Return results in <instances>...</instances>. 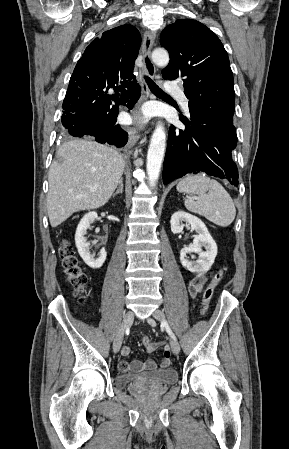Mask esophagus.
<instances>
[{
	"label": "esophagus",
	"mask_w": 289,
	"mask_h": 449,
	"mask_svg": "<svg viewBox=\"0 0 289 449\" xmlns=\"http://www.w3.org/2000/svg\"><path fill=\"white\" fill-rule=\"evenodd\" d=\"M154 40H155V33L152 31H146L144 34L141 53H142V57H143V63L145 66V72L149 78H154L155 73H156L155 65L151 60V49L154 44ZM141 85H142L143 95L141 97L140 103L152 97L150 89L144 79H141ZM133 116L134 117L138 116V107H136L134 109ZM140 128L141 127L138 125L132 126L129 128L128 144L130 147L134 146L136 144V142L138 141V139L140 137Z\"/></svg>",
	"instance_id": "34e87169"
}]
</instances>
